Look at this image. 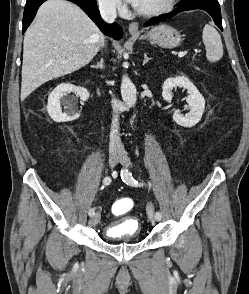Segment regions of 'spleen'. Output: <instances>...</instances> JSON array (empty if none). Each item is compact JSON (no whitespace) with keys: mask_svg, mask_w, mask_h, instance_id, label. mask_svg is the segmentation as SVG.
Listing matches in <instances>:
<instances>
[{"mask_svg":"<svg viewBox=\"0 0 249 294\" xmlns=\"http://www.w3.org/2000/svg\"><path fill=\"white\" fill-rule=\"evenodd\" d=\"M202 38L207 60L209 62L219 61L223 57V45L218 31L210 25H205Z\"/></svg>","mask_w":249,"mask_h":294,"instance_id":"3e777b00","label":"spleen"}]
</instances>
